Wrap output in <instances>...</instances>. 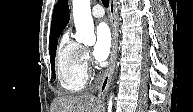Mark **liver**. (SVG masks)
<instances>
[{"label": "liver", "mask_w": 193, "mask_h": 112, "mask_svg": "<svg viewBox=\"0 0 193 112\" xmlns=\"http://www.w3.org/2000/svg\"><path fill=\"white\" fill-rule=\"evenodd\" d=\"M100 109V101L94 96H62L54 100L51 112H100Z\"/></svg>", "instance_id": "obj_1"}]
</instances>
